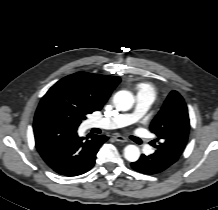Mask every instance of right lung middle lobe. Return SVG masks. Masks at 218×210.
<instances>
[{
	"mask_svg": "<svg viewBox=\"0 0 218 210\" xmlns=\"http://www.w3.org/2000/svg\"><path fill=\"white\" fill-rule=\"evenodd\" d=\"M91 111L63 90L52 86L41 99L34 121L55 120L77 129Z\"/></svg>",
	"mask_w": 218,
	"mask_h": 210,
	"instance_id": "obj_1",
	"label": "right lung middle lobe"
}]
</instances>
